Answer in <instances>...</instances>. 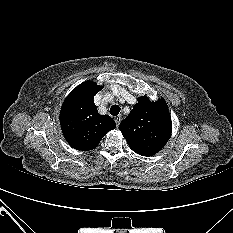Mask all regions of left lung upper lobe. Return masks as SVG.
Returning <instances> with one entry per match:
<instances>
[{"instance_id": "1", "label": "left lung upper lobe", "mask_w": 233, "mask_h": 233, "mask_svg": "<svg viewBox=\"0 0 233 233\" xmlns=\"http://www.w3.org/2000/svg\"><path fill=\"white\" fill-rule=\"evenodd\" d=\"M119 129L135 153L147 157L155 155L171 137V116L165 100L139 97Z\"/></svg>"}]
</instances>
